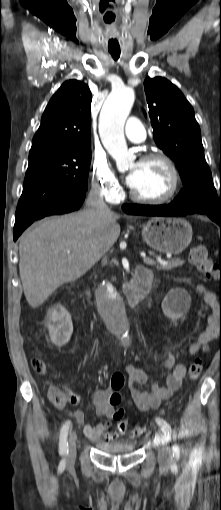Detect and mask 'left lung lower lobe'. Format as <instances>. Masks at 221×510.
I'll return each mask as SVG.
<instances>
[{
    "label": "left lung lower lobe",
    "instance_id": "1",
    "mask_svg": "<svg viewBox=\"0 0 221 510\" xmlns=\"http://www.w3.org/2000/svg\"><path fill=\"white\" fill-rule=\"evenodd\" d=\"M122 209L128 214L150 215V216H185L188 214H207L210 219L215 221L221 227V210L210 209H182L171 203L168 205H129L125 204Z\"/></svg>",
    "mask_w": 221,
    "mask_h": 510
}]
</instances>
